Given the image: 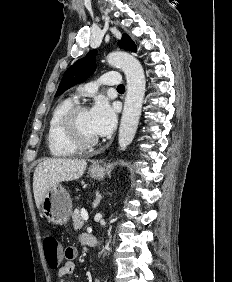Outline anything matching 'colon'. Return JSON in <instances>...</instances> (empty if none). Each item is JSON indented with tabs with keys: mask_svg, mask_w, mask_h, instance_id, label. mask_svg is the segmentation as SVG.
Masks as SVG:
<instances>
[{
	"mask_svg": "<svg viewBox=\"0 0 232 282\" xmlns=\"http://www.w3.org/2000/svg\"><path fill=\"white\" fill-rule=\"evenodd\" d=\"M43 248L46 262L50 269L55 270L59 267L67 250L62 251L58 239L52 234H46L43 237Z\"/></svg>",
	"mask_w": 232,
	"mask_h": 282,
	"instance_id": "5ec220e1",
	"label": "colon"
}]
</instances>
